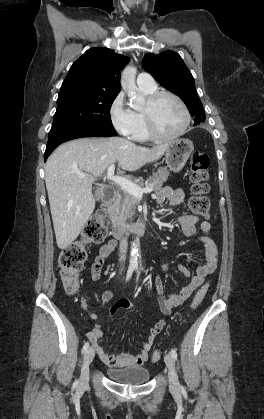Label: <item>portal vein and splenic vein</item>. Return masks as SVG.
I'll return each instance as SVG.
<instances>
[{
    "label": "portal vein and splenic vein",
    "instance_id": "1",
    "mask_svg": "<svg viewBox=\"0 0 264 419\" xmlns=\"http://www.w3.org/2000/svg\"><path fill=\"white\" fill-rule=\"evenodd\" d=\"M114 170H115V166L110 165L108 170H107L108 180H111V181L115 182L123 190L127 191L129 194H131V195H133L137 198H141L144 193H151L153 191V188L151 186L141 188L140 186H138L137 184L133 183L132 181H130L126 178H123V177H120V176H115L114 175ZM82 176H84V175H82Z\"/></svg>",
    "mask_w": 264,
    "mask_h": 419
}]
</instances>
